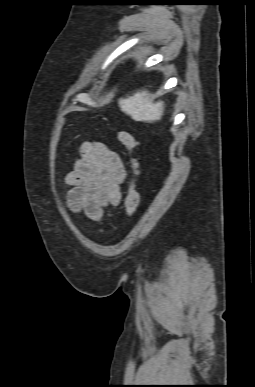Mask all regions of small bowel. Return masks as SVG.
I'll return each mask as SVG.
<instances>
[{
  "mask_svg": "<svg viewBox=\"0 0 255 387\" xmlns=\"http://www.w3.org/2000/svg\"><path fill=\"white\" fill-rule=\"evenodd\" d=\"M125 178V166L117 152L101 142L84 141L73 170L65 176L70 187L69 208L99 221L106 206L119 205Z\"/></svg>",
  "mask_w": 255,
  "mask_h": 387,
  "instance_id": "obj_1",
  "label": "small bowel"
}]
</instances>
